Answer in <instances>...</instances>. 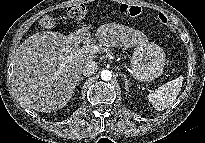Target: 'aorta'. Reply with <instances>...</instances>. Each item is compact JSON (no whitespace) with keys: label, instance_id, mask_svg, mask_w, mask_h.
<instances>
[{"label":"aorta","instance_id":"aorta-1","mask_svg":"<svg viewBox=\"0 0 205 143\" xmlns=\"http://www.w3.org/2000/svg\"><path fill=\"white\" fill-rule=\"evenodd\" d=\"M112 78V73L109 70H103L101 72V79L104 81H109Z\"/></svg>","mask_w":205,"mask_h":143}]
</instances>
